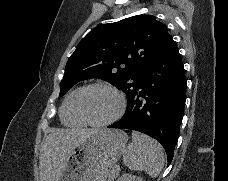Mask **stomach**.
<instances>
[{"instance_id":"stomach-1","label":"stomach","mask_w":228,"mask_h":181,"mask_svg":"<svg viewBox=\"0 0 228 181\" xmlns=\"http://www.w3.org/2000/svg\"><path fill=\"white\" fill-rule=\"evenodd\" d=\"M127 141L124 131L103 129L91 133L70 153L61 181H108Z\"/></svg>"}]
</instances>
